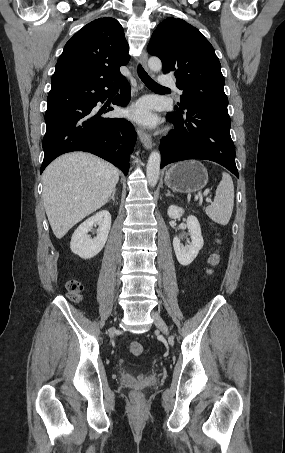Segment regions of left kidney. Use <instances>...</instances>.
<instances>
[{
  "label": "left kidney",
  "mask_w": 285,
  "mask_h": 453,
  "mask_svg": "<svg viewBox=\"0 0 285 453\" xmlns=\"http://www.w3.org/2000/svg\"><path fill=\"white\" fill-rule=\"evenodd\" d=\"M167 214L170 218L177 219L184 214V210L177 206L171 205L168 208ZM186 222L187 228L190 232L191 243L183 247L177 236L173 238V247L177 260L183 266H187L192 263L204 244L203 237L201 235V227L197 218L190 215L187 217Z\"/></svg>",
  "instance_id": "obj_1"
}]
</instances>
